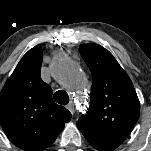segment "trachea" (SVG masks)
Segmentation results:
<instances>
[{"label": "trachea", "mask_w": 151, "mask_h": 151, "mask_svg": "<svg viewBox=\"0 0 151 151\" xmlns=\"http://www.w3.org/2000/svg\"><path fill=\"white\" fill-rule=\"evenodd\" d=\"M54 100L61 105H65L69 103V96L66 91L59 90L53 95Z\"/></svg>", "instance_id": "1"}]
</instances>
